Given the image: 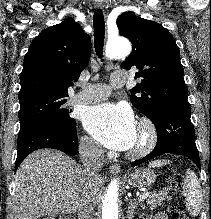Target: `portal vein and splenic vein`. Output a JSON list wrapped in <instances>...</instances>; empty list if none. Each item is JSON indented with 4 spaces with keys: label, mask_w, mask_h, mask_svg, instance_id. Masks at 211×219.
<instances>
[{
    "label": "portal vein and splenic vein",
    "mask_w": 211,
    "mask_h": 219,
    "mask_svg": "<svg viewBox=\"0 0 211 219\" xmlns=\"http://www.w3.org/2000/svg\"><path fill=\"white\" fill-rule=\"evenodd\" d=\"M150 194V192H148V191H146V192H143L142 194H140L139 196H138V200H143V199H145V198H147V196Z\"/></svg>",
    "instance_id": "obj_1"
}]
</instances>
